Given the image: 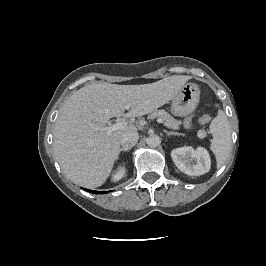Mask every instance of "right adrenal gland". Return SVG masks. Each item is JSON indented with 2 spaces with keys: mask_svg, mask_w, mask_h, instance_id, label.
I'll return each instance as SVG.
<instances>
[{
  "mask_svg": "<svg viewBox=\"0 0 266 266\" xmlns=\"http://www.w3.org/2000/svg\"><path fill=\"white\" fill-rule=\"evenodd\" d=\"M129 150H130V149L121 148V149L119 150V153H120V152H122V151H124V152H125V151H129Z\"/></svg>",
  "mask_w": 266,
  "mask_h": 266,
  "instance_id": "2a0ac1e0",
  "label": "right adrenal gland"
}]
</instances>
